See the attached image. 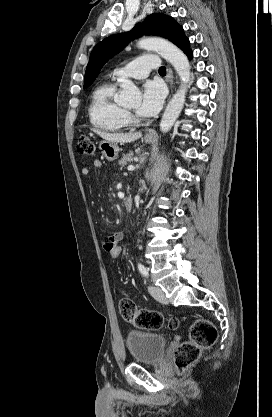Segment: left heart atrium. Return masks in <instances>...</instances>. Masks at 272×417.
Segmentation results:
<instances>
[{"label":"left heart atrium","mask_w":272,"mask_h":417,"mask_svg":"<svg viewBox=\"0 0 272 417\" xmlns=\"http://www.w3.org/2000/svg\"><path fill=\"white\" fill-rule=\"evenodd\" d=\"M165 98L164 86L158 81H148L144 84L141 102L137 113L142 117H151L159 112Z\"/></svg>","instance_id":"left-heart-atrium-1"}]
</instances>
